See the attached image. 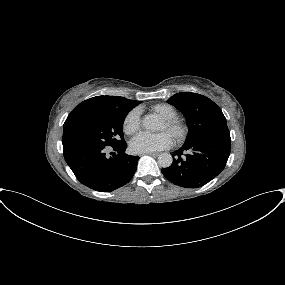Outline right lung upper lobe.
<instances>
[{
  "label": "right lung upper lobe",
  "mask_w": 285,
  "mask_h": 285,
  "mask_svg": "<svg viewBox=\"0 0 285 285\" xmlns=\"http://www.w3.org/2000/svg\"><path fill=\"white\" fill-rule=\"evenodd\" d=\"M140 101H133L118 96H96L87 99L77 105L68 115L63 126V138L69 129L74 127L84 118L104 111L132 109L137 106Z\"/></svg>",
  "instance_id": "obj_1"
}]
</instances>
